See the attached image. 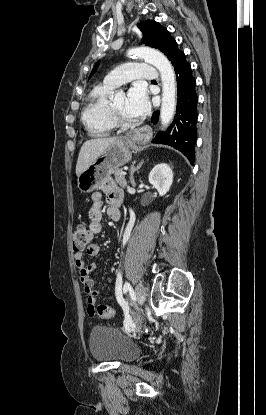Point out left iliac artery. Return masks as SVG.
<instances>
[{"label": "left iliac artery", "mask_w": 266, "mask_h": 415, "mask_svg": "<svg viewBox=\"0 0 266 415\" xmlns=\"http://www.w3.org/2000/svg\"><path fill=\"white\" fill-rule=\"evenodd\" d=\"M121 286H122V276L120 273H118V277L116 280V287H115L116 295H119V293L121 292ZM129 290H131V286L128 282H126L123 287V292L126 293ZM123 308L125 307L123 306Z\"/></svg>", "instance_id": "obj_1"}]
</instances>
